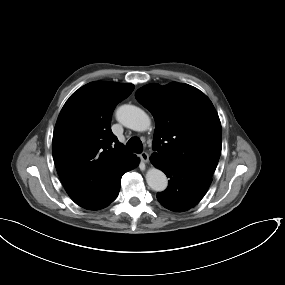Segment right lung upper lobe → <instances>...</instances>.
Masks as SVG:
<instances>
[{"label":"right lung upper lobe","instance_id":"1","mask_svg":"<svg viewBox=\"0 0 285 285\" xmlns=\"http://www.w3.org/2000/svg\"><path fill=\"white\" fill-rule=\"evenodd\" d=\"M133 89L134 85L125 83H88L59 114L53 159L66 192L81 207L100 199L136 157L124 151L110 125L115 106Z\"/></svg>","mask_w":285,"mask_h":285}]
</instances>
